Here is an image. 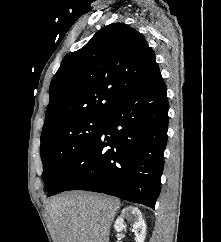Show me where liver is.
Instances as JSON below:
<instances>
[{
    "mask_svg": "<svg viewBox=\"0 0 221 242\" xmlns=\"http://www.w3.org/2000/svg\"><path fill=\"white\" fill-rule=\"evenodd\" d=\"M118 199L67 192L50 200L47 210L53 242H108Z\"/></svg>",
    "mask_w": 221,
    "mask_h": 242,
    "instance_id": "1",
    "label": "liver"
}]
</instances>
